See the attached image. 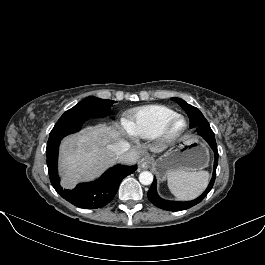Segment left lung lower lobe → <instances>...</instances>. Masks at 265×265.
<instances>
[{"instance_id":"0a47b994","label":"left lung lower lobe","mask_w":265,"mask_h":265,"mask_svg":"<svg viewBox=\"0 0 265 265\" xmlns=\"http://www.w3.org/2000/svg\"><path fill=\"white\" fill-rule=\"evenodd\" d=\"M194 128L196 129L197 133L200 136H202L206 140V142L211 146L215 154L213 175H212L211 181L207 189L198 198L192 201H188V202H173V201L164 200L161 197H159V195L157 194V190H156V179L154 177V181L147 193V196L152 204H154L155 206L161 209L168 210V211H180V210L191 208L194 205L200 203L206 197V195L209 193V191L212 189L214 185L216 168L218 164V151H217V144L215 141L214 132L212 131L209 123L200 124Z\"/></svg>"}]
</instances>
